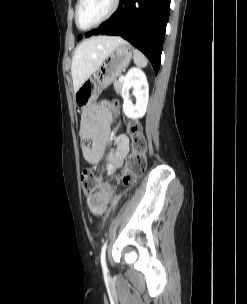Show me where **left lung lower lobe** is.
Returning a JSON list of instances; mask_svg holds the SVG:
<instances>
[{"label": "left lung lower lobe", "mask_w": 247, "mask_h": 304, "mask_svg": "<svg viewBox=\"0 0 247 304\" xmlns=\"http://www.w3.org/2000/svg\"><path fill=\"white\" fill-rule=\"evenodd\" d=\"M170 2L171 0H120L117 11L98 29L85 36H121L147 56L157 75Z\"/></svg>", "instance_id": "left-lung-lower-lobe-1"}]
</instances>
